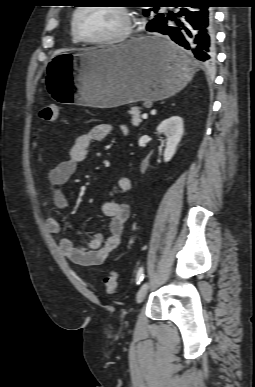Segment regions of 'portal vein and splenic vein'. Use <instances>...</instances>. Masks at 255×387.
<instances>
[{
  "instance_id": "1",
  "label": "portal vein and splenic vein",
  "mask_w": 255,
  "mask_h": 387,
  "mask_svg": "<svg viewBox=\"0 0 255 387\" xmlns=\"http://www.w3.org/2000/svg\"><path fill=\"white\" fill-rule=\"evenodd\" d=\"M142 118H143V119H147V118H148V115H147L146 113H144V114L142 115Z\"/></svg>"
}]
</instances>
